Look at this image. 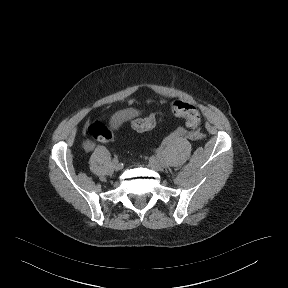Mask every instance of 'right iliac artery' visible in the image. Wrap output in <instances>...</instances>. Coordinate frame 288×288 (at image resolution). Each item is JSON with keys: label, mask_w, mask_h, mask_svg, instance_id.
Segmentation results:
<instances>
[{"label": "right iliac artery", "mask_w": 288, "mask_h": 288, "mask_svg": "<svg viewBox=\"0 0 288 288\" xmlns=\"http://www.w3.org/2000/svg\"><path fill=\"white\" fill-rule=\"evenodd\" d=\"M113 161H118L117 156H114Z\"/></svg>", "instance_id": "82829eb1"}]
</instances>
